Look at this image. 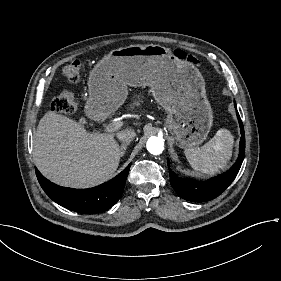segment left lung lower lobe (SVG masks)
<instances>
[{
    "mask_svg": "<svg viewBox=\"0 0 281 281\" xmlns=\"http://www.w3.org/2000/svg\"><path fill=\"white\" fill-rule=\"evenodd\" d=\"M234 106H236L235 103ZM236 114L242 135L240 139L239 156L236 163L228 172L207 181H196L192 179L181 178L178 177L171 169H169L171 186L181 198L194 202L209 201L219 196L235 179L245 154L244 128L237 111Z\"/></svg>",
    "mask_w": 281,
    "mask_h": 281,
    "instance_id": "1",
    "label": "left lung lower lobe"
}]
</instances>
